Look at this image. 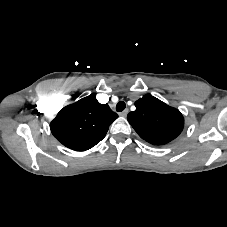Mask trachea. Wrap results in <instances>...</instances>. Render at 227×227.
<instances>
[{
    "instance_id": "1",
    "label": "trachea",
    "mask_w": 227,
    "mask_h": 227,
    "mask_svg": "<svg viewBox=\"0 0 227 227\" xmlns=\"http://www.w3.org/2000/svg\"><path fill=\"white\" fill-rule=\"evenodd\" d=\"M126 107V104L123 101H120L116 105V111L117 112H122Z\"/></svg>"
}]
</instances>
